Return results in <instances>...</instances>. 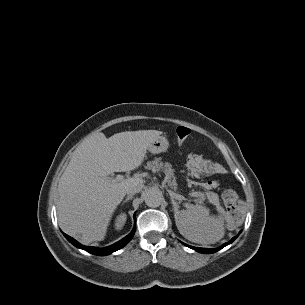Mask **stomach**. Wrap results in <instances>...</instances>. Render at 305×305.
Masks as SVG:
<instances>
[{
	"mask_svg": "<svg viewBox=\"0 0 305 305\" xmlns=\"http://www.w3.org/2000/svg\"><path fill=\"white\" fill-rule=\"evenodd\" d=\"M169 148V142L164 136H159L155 141H153L149 147L148 151L152 154H158L161 152H166Z\"/></svg>",
	"mask_w": 305,
	"mask_h": 305,
	"instance_id": "obj_1",
	"label": "stomach"
}]
</instances>
